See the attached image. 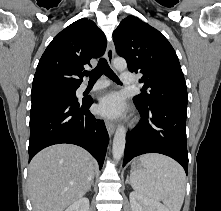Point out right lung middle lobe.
Masks as SVG:
<instances>
[{"instance_id":"1","label":"right lung middle lobe","mask_w":221,"mask_h":211,"mask_svg":"<svg viewBox=\"0 0 221 211\" xmlns=\"http://www.w3.org/2000/svg\"><path fill=\"white\" fill-rule=\"evenodd\" d=\"M77 88H47L36 91H31V102L32 104L52 99V98H65L73 101H77L76 98Z\"/></svg>"}]
</instances>
